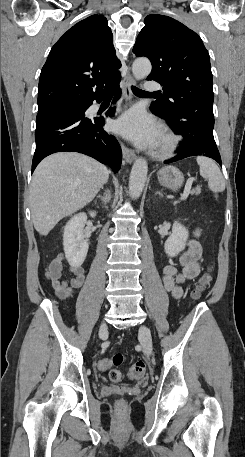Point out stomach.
Masks as SVG:
<instances>
[{
	"label": "stomach",
	"mask_w": 245,
	"mask_h": 457,
	"mask_svg": "<svg viewBox=\"0 0 245 457\" xmlns=\"http://www.w3.org/2000/svg\"><path fill=\"white\" fill-rule=\"evenodd\" d=\"M158 180L162 186L177 190L184 182V174L176 166H163L157 172Z\"/></svg>",
	"instance_id": "0dacf381"
}]
</instances>
